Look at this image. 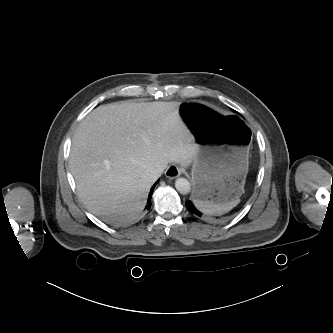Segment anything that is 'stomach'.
Masks as SVG:
<instances>
[{"label": "stomach", "mask_w": 333, "mask_h": 333, "mask_svg": "<svg viewBox=\"0 0 333 333\" xmlns=\"http://www.w3.org/2000/svg\"><path fill=\"white\" fill-rule=\"evenodd\" d=\"M179 112L182 129L198 145L191 173L193 197L217 204L237 202L248 173L251 130L236 115L204 102H185Z\"/></svg>", "instance_id": "0dacf381"}]
</instances>
